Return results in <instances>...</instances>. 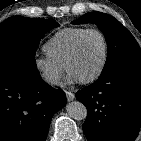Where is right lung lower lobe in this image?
Segmentation results:
<instances>
[{
  "mask_svg": "<svg viewBox=\"0 0 141 141\" xmlns=\"http://www.w3.org/2000/svg\"><path fill=\"white\" fill-rule=\"evenodd\" d=\"M65 104V93L38 70L0 69V141H45L53 115Z\"/></svg>",
  "mask_w": 141,
  "mask_h": 141,
  "instance_id": "obj_1",
  "label": "right lung lower lobe"
}]
</instances>
